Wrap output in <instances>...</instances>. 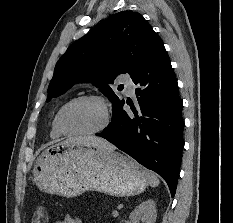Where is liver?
<instances>
[{"mask_svg": "<svg viewBox=\"0 0 233 223\" xmlns=\"http://www.w3.org/2000/svg\"><path fill=\"white\" fill-rule=\"evenodd\" d=\"M71 143H81V145H87V147H100V149H110L114 151L115 145L109 143L107 139L103 137H97V135H80V137H71L68 139Z\"/></svg>", "mask_w": 233, "mask_h": 223, "instance_id": "1", "label": "liver"}]
</instances>
